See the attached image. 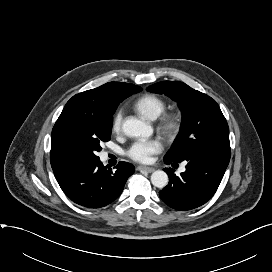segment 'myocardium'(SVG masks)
<instances>
[{
	"label": "myocardium",
	"mask_w": 272,
	"mask_h": 272,
	"mask_svg": "<svg viewBox=\"0 0 272 272\" xmlns=\"http://www.w3.org/2000/svg\"><path fill=\"white\" fill-rule=\"evenodd\" d=\"M181 128L180 118L177 114L168 112L161 114L159 118V129L168 138L175 137Z\"/></svg>",
	"instance_id": "myocardium-1"
}]
</instances>
